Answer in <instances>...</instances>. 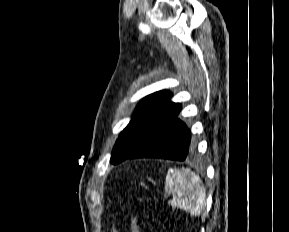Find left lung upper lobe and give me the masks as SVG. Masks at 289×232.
Segmentation results:
<instances>
[{
	"instance_id": "left-lung-upper-lobe-1",
	"label": "left lung upper lobe",
	"mask_w": 289,
	"mask_h": 232,
	"mask_svg": "<svg viewBox=\"0 0 289 232\" xmlns=\"http://www.w3.org/2000/svg\"><path fill=\"white\" fill-rule=\"evenodd\" d=\"M170 97V92L159 91L140 101L132 120L116 141L110 163L118 164L125 160L164 125L176 118L181 106L171 102Z\"/></svg>"
}]
</instances>
